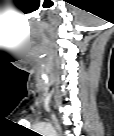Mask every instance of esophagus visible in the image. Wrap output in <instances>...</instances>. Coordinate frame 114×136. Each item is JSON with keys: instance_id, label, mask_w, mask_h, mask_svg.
Returning <instances> with one entry per match:
<instances>
[{"instance_id": "1", "label": "esophagus", "mask_w": 114, "mask_h": 136, "mask_svg": "<svg viewBox=\"0 0 114 136\" xmlns=\"http://www.w3.org/2000/svg\"><path fill=\"white\" fill-rule=\"evenodd\" d=\"M52 119H53V122H54L55 128H56V129H58V128H59V124H58V121H57V119H56V117H55V115H54V114L52 115Z\"/></svg>"}]
</instances>
